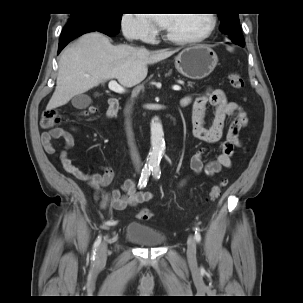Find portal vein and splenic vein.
<instances>
[{
    "instance_id": "1",
    "label": "portal vein and splenic vein",
    "mask_w": 303,
    "mask_h": 303,
    "mask_svg": "<svg viewBox=\"0 0 303 303\" xmlns=\"http://www.w3.org/2000/svg\"><path fill=\"white\" fill-rule=\"evenodd\" d=\"M108 87L111 91L115 92V93H119L122 94L124 93L126 90L124 89V87H122L121 85H119L115 80H111L108 84ZM173 90L175 91H180L181 87L179 85H174Z\"/></svg>"
}]
</instances>
